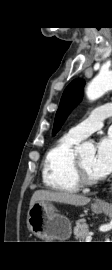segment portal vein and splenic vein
I'll return each mask as SVG.
<instances>
[{"mask_svg":"<svg viewBox=\"0 0 112 270\" xmlns=\"http://www.w3.org/2000/svg\"><path fill=\"white\" fill-rule=\"evenodd\" d=\"M91 240H92V236H91V235H88V236L86 237V242H91Z\"/></svg>","mask_w":112,"mask_h":270,"instance_id":"18ae733b","label":"portal vein and splenic vein"}]
</instances>
